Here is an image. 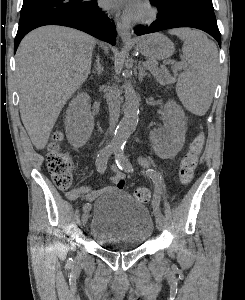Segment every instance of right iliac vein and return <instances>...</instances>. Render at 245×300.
Masks as SVG:
<instances>
[{
    "mask_svg": "<svg viewBox=\"0 0 245 300\" xmlns=\"http://www.w3.org/2000/svg\"><path fill=\"white\" fill-rule=\"evenodd\" d=\"M89 210H90V209H89ZM89 210L84 211V213L82 214L81 222H82L83 225H85L86 222H87L88 219H89V216H90Z\"/></svg>",
    "mask_w": 245,
    "mask_h": 300,
    "instance_id": "obj_1",
    "label": "right iliac vein"
}]
</instances>
